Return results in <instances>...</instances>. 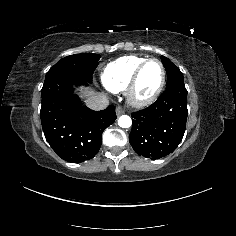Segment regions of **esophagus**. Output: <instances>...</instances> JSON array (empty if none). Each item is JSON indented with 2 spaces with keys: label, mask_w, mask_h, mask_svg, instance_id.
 Listing matches in <instances>:
<instances>
[{
  "label": "esophagus",
  "mask_w": 236,
  "mask_h": 236,
  "mask_svg": "<svg viewBox=\"0 0 236 236\" xmlns=\"http://www.w3.org/2000/svg\"><path fill=\"white\" fill-rule=\"evenodd\" d=\"M124 113V109L121 108V107H117L116 109V115L119 116V115H122Z\"/></svg>",
  "instance_id": "1"
}]
</instances>
